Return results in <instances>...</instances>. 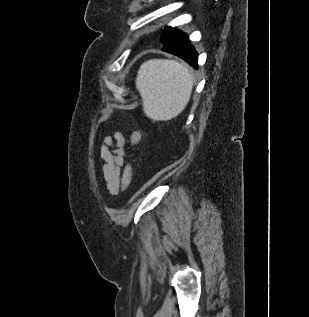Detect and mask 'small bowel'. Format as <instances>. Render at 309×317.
Masks as SVG:
<instances>
[{
	"mask_svg": "<svg viewBox=\"0 0 309 317\" xmlns=\"http://www.w3.org/2000/svg\"><path fill=\"white\" fill-rule=\"evenodd\" d=\"M99 149L104 161L100 170L105 187L111 195H117L122 185L126 138L123 133L115 131L113 136H106L102 139Z\"/></svg>",
	"mask_w": 309,
	"mask_h": 317,
	"instance_id": "1",
	"label": "small bowel"
}]
</instances>
